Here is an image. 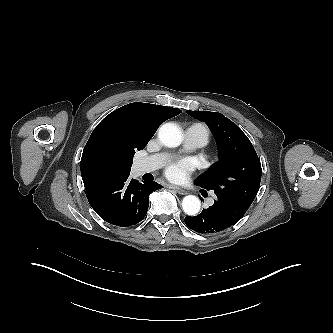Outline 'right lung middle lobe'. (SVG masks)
<instances>
[{
    "label": "right lung middle lobe",
    "instance_id": "dd1d6c3e",
    "mask_svg": "<svg viewBox=\"0 0 333 333\" xmlns=\"http://www.w3.org/2000/svg\"><path fill=\"white\" fill-rule=\"evenodd\" d=\"M143 148L144 146H139L135 143L113 144L109 148V153L115 160L124 164L128 173H130L135 151Z\"/></svg>",
    "mask_w": 333,
    "mask_h": 333
}]
</instances>
